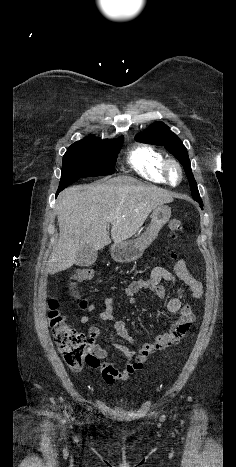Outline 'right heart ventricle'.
I'll use <instances>...</instances> for the list:
<instances>
[{"instance_id": "obj_1", "label": "right heart ventricle", "mask_w": 236, "mask_h": 467, "mask_svg": "<svg viewBox=\"0 0 236 467\" xmlns=\"http://www.w3.org/2000/svg\"><path fill=\"white\" fill-rule=\"evenodd\" d=\"M165 157L149 146H136L128 155V165L142 178L154 183H167L163 175Z\"/></svg>"}]
</instances>
